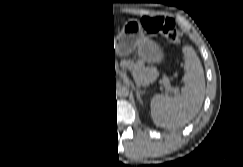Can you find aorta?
<instances>
[{
    "instance_id": "762f6f07",
    "label": "aorta",
    "mask_w": 243,
    "mask_h": 167,
    "mask_svg": "<svg viewBox=\"0 0 243 167\" xmlns=\"http://www.w3.org/2000/svg\"><path fill=\"white\" fill-rule=\"evenodd\" d=\"M128 94H129V89L126 86H120L117 89V95L120 97H126V96H128Z\"/></svg>"
}]
</instances>
